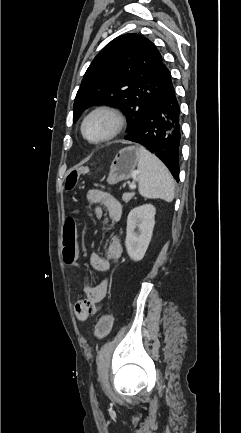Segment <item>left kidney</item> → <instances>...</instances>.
<instances>
[{"label":"left kidney","instance_id":"obj_1","mask_svg":"<svg viewBox=\"0 0 241 433\" xmlns=\"http://www.w3.org/2000/svg\"><path fill=\"white\" fill-rule=\"evenodd\" d=\"M156 209L151 204L138 206L127 218L125 246L129 257L138 262L143 259L152 238ZM138 227L139 233L135 232Z\"/></svg>","mask_w":241,"mask_h":433}]
</instances>
